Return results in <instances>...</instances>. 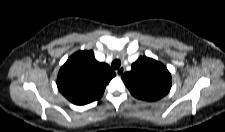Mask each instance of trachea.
I'll return each mask as SVG.
<instances>
[{"mask_svg": "<svg viewBox=\"0 0 225 132\" xmlns=\"http://www.w3.org/2000/svg\"><path fill=\"white\" fill-rule=\"evenodd\" d=\"M120 65H121V61L118 59H115L111 64L113 69H118L120 67Z\"/></svg>", "mask_w": 225, "mask_h": 132, "instance_id": "1", "label": "trachea"}]
</instances>
